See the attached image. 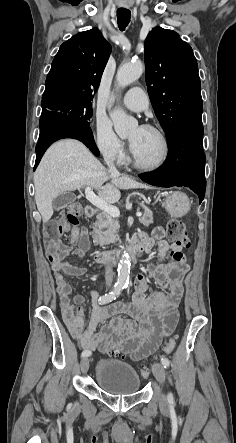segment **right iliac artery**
Here are the masks:
<instances>
[{"mask_svg":"<svg viewBox=\"0 0 236 443\" xmlns=\"http://www.w3.org/2000/svg\"><path fill=\"white\" fill-rule=\"evenodd\" d=\"M123 288L124 287L121 285L115 286V288L110 293L105 294L99 298V300H98L99 304L102 305V304L109 303L112 300H115L121 294ZM90 355H91V352L88 350H84L81 354L82 357H87Z\"/></svg>","mask_w":236,"mask_h":443,"instance_id":"82829eb1","label":"right iliac artery"}]
</instances>
